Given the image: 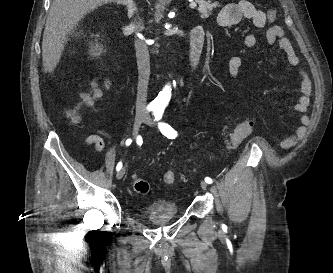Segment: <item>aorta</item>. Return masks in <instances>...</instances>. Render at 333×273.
I'll return each mask as SVG.
<instances>
[{"label": "aorta", "instance_id": "aorta-1", "mask_svg": "<svg viewBox=\"0 0 333 273\" xmlns=\"http://www.w3.org/2000/svg\"><path fill=\"white\" fill-rule=\"evenodd\" d=\"M171 93H170V87L166 86L157 96L155 99V102L159 105H164L167 103L170 99Z\"/></svg>", "mask_w": 333, "mask_h": 273}]
</instances>
